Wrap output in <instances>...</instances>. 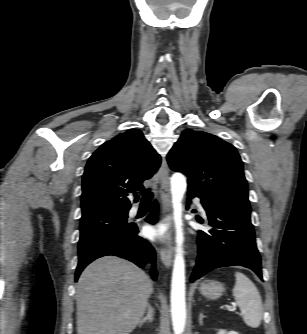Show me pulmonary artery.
Listing matches in <instances>:
<instances>
[{
	"instance_id": "pulmonary-artery-1",
	"label": "pulmonary artery",
	"mask_w": 307,
	"mask_h": 334,
	"mask_svg": "<svg viewBox=\"0 0 307 334\" xmlns=\"http://www.w3.org/2000/svg\"><path fill=\"white\" fill-rule=\"evenodd\" d=\"M195 204L197 205L199 211L201 212V214L203 216H206V210L205 208L203 207L202 203L199 201V200H196L195 201ZM138 211V208L137 207H133L131 210H130V215H135Z\"/></svg>"
}]
</instances>
